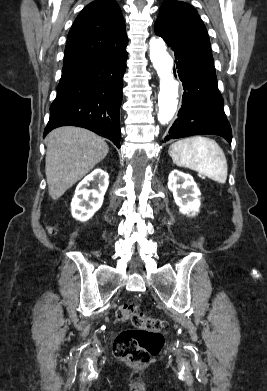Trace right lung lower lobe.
Returning <instances> with one entry per match:
<instances>
[{
    "label": "right lung lower lobe",
    "mask_w": 267,
    "mask_h": 391,
    "mask_svg": "<svg viewBox=\"0 0 267 391\" xmlns=\"http://www.w3.org/2000/svg\"><path fill=\"white\" fill-rule=\"evenodd\" d=\"M126 47L62 70L44 137L60 126H78L120 147L122 79Z\"/></svg>",
    "instance_id": "98d812e1"
}]
</instances>
